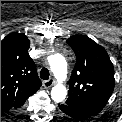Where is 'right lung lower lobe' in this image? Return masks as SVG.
<instances>
[{"instance_id": "98d812e1", "label": "right lung lower lobe", "mask_w": 122, "mask_h": 122, "mask_svg": "<svg viewBox=\"0 0 122 122\" xmlns=\"http://www.w3.org/2000/svg\"><path fill=\"white\" fill-rule=\"evenodd\" d=\"M10 111H5V112H3V113H9Z\"/></svg>"}]
</instances>
